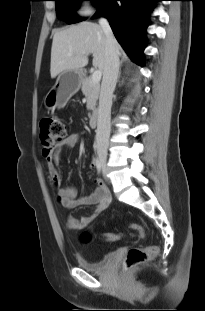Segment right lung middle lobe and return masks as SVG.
<instances>
[{"label":"right lung middle lobe","mask_w":205,"mask_h":311,"mask_svg":"<svg viewBox=\"0 0 205 311\" xmlns=\"http://www.w3.org/2000/svg\"><path fill=\"white\" fill-rule=\"evenodd\" d=\"M56 4L57 16L59 19L64 20L68 24H73L82 21L81 18L76 16L74 10L79 7L80 1L85 0H54ZM95 3V5L101 4L102 0H90Z\"/></svg>","instance_id":"right-lung-middle-lobe-1"}]
</instances>
